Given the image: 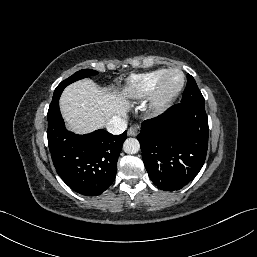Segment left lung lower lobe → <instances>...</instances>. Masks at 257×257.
I'll return each mask as SVG.
<instances>
[{"label":"left lung lower lobe","instance_id":"0a47b994","mask_svg":"<svg viewBox=\"0 0 257 257\" xmlns=\"http://www.w3.org/2000/svg\"><path fill=\"white\" fill-rule=\"evenodd\" d=\"M142 159L153 183L165 191L179 190L201 170L208 148L205 104L180 103L146 120L137 136Z\"/></svg>","mask_w":257,"mask_h":257}]
</instances>
